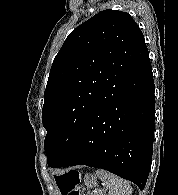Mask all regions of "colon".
I'll list each match as a JSON object with an SVG mask.
<instances>
[{
    "label": "colon",
    "mask_w": 178,
    "mask_h": 195,
    "mask_svg": "<svg viewBox=\"0 0 178 195\" xmlns=\"http://www.w3.org/2000/svg\"><path fill=\"white\" fill-rule=\"evenodd\" d=\"M59 188L63 195H81L79 190V173L77 171L66 172L59 180Z\"/></svg>",
    "instance_id": "1"
}]
</instances>
